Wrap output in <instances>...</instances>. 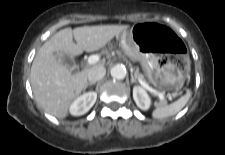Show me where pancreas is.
I'll use <instances>...</instances> for the list:
<instances>
[{
  "label": "pancreas",
  "mask_w": 225,
  "mask_h": 155,
  "mask_svg": "<svg viewBox=\"0 0 225 155\" xmlns=\"http://www.w3.org/2000/svg\"><path fill=\"white\" fill-rule=\"evenodd\" d=\"M134 74H135V77H136V78H141V79H143V80H144V78H145L144 75H143L142 73H140L138 69H136V71H135Z\"/></svg>",
  "instance_id": "pancreas-1"
}]
</instances>
